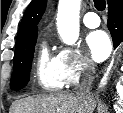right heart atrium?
<instances>
[{"instance_id":"obj_1","label":"right heart atrium","mask_w":123,"mask_h":113,"mask_svg":"<svg viewBox=\"0 0 123 113\" xmlns=\"http://www.w3.org/2000/svg\"><path fill=\"white\" fill-rule=\"evenodd\" d=\"M57 58L59 72L66 86L77 84L83 74L93 70V63L78 49L64 47Z\"/></svg>"}]
</instances>
